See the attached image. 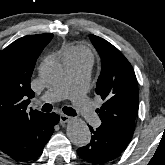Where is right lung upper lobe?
<instances>
[{"mask_svg":"<svg viewBox=\"0 0 165 165\" xmlns=\"http://www.w3.org/2000/svg\"><path fill=\"white\" fill-rule=\"evenodd\" d=\"M52 38L24 36L0 51V139L44 114L27 106L34 97L30 79L36 60Z\"/></svg>","mask_w":165,"mask_h":165,"instance_id":"right-lung-upper-lobe-1","label":"right lung upper lobe"}]
</instances>
